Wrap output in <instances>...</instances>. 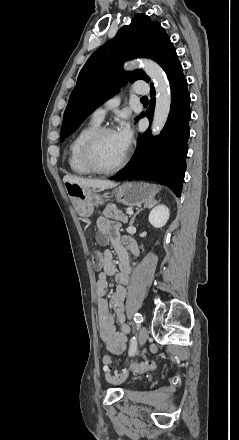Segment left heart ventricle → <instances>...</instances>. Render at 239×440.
<instances>
[{
	"mask_svg": "<svg viewBox=\"0 0 239 440\" xmlns=\"http://www.w3.org/2000/svg\"><path fill=\"white\" fill-rule=\"evenodd\" d=\"M126 148L116 132L105 134L94 149V158L99 166L112 168L117 165Z\"/></svg>",
	"mask_w": 239,
	"mask_h": 440,
	"instance_id": "1",
	"label": "left heart ventricle"
}]
</instances>
